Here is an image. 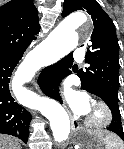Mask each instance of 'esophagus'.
I'll use <instances>...</instances> for the list:
<instances>
[{"label":"esophagus","mask_w":124,"mask_h":149,"mask_svg":"<svg viewBox=\"0 0 124 149\" xmlns=\"http://www.w3.org/2000/svg\"><path fill=\"white\" fill-rule=\"evenodd\" d=\"M71 126H72V129L74 130H78L80 128L79 123H77L74 120H72Z\"/></svg>","instance_id":"34e87169"}]
</instances>
